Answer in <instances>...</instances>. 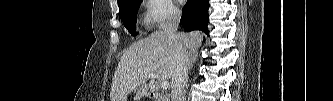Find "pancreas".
<instances>
[{
    "label": "pancreas",
    "mask_w": 333,
    "mask_h": 101,
    "mask_svg": "<svg viewBox=\"0 0 333 101\" xmlns=\"http://www.w3.org/2000/svg\"><path fill=\"white\" fill-rule=\"evenodd\" d=\"M162 101H168V96H163Z\"/></svg>",
    "instance_id": "obj_1"
}]
</instances>
